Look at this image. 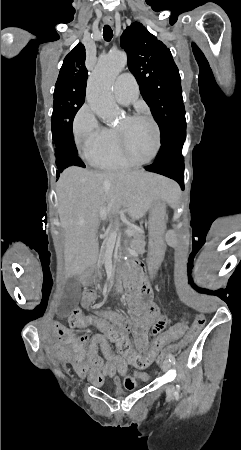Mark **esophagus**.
I'll return each instance as SVG.
<instances>
[{
    "instance_id": "1",
    "label": "esophagus",
    "mask_w": 241,
    "mask_h": 450,
    "mask_svg": "<svg viewBox=\"0 0 241 450\" xmlns=\"http://www.w3.org/2000/svg\"><path fill=\"white\" fill-rule=\"evenodd\" d=\"M104 22L112 25L114 23V19L112 16H108V17L104 18Z\"/></svg>"
}]
</instances>
